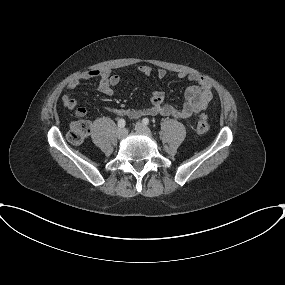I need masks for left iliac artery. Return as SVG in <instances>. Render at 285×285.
I'll return each mask as SVG.
<instances>
[{"label": "left iliac artery", "mask_w": 285, "mask_h": 285, "mask_svg": "<svg viewBox=\"0 0 285 285\" xmlns=\"http://www.w3.org/2000/svg\"><path fill=\"white\" fill-rule=\"evenodd\" d=\"M142 123H143L144 125H148V124H149V119H148V118H144V119L142 120Z\"/></svg>", "instance_id": "left-iliac-artery-1"}]
</instances>
